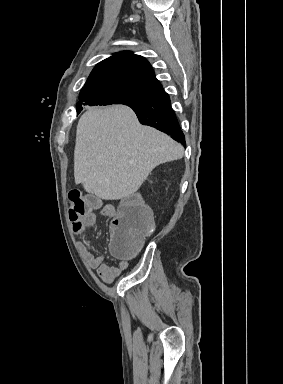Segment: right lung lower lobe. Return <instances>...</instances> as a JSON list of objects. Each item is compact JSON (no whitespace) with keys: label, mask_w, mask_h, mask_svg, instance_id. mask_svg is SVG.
<instances>
[{"label":"right lung lower lobe","mask_w":283,"mask_h":384,"mask_svg":"<svg viewBox=\"0 0 283 384\" xmlns=\"http://www.w3.org/2000/svg\"><path fill=\"white\" fill-rule=\"evenodd\" d=\"M141 124L152 126L186 146L184 134L171 107L168 94L162 88L156 98L143 106H130Z\"/></svg>","instance_id":"obj_1"}]
</instances>
